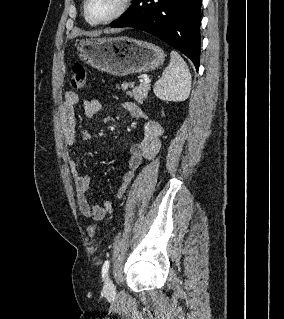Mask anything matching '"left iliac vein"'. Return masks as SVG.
<instances>
[{"instance_id":"left-iliac-vein-1","label":"left iliac vein","mask_w":284,"mask_h":319,"mask_svg":"<svg viewBox=\"0 0 284 319\" xmlns=\"http://www.w3.org/2000/svg\"><path fill=\"white\" fill-rule=\"evenodd\" d=\"M104 290L108 294H112L115 292V286L109 276L106 277V280L104 283Z\"/></svg>"}]
</instances>
